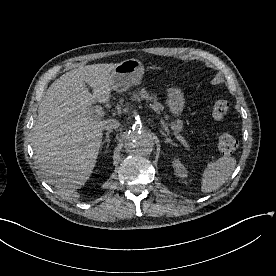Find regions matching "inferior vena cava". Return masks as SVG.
<instances>
[{"instance_id":"obj_1","label":"inferior vena cava","mask_w":276,"mask_h":276,"mask_svg":"<svg viewBox=\"0 0 276 276\" xmlns=\"http://www.w3.org/2000/svg\"><path fill=\"white\" fill-rule=\"evenodd\" d=\"M120 126V123L116 119L106 120L103 124V129L111 132L113 129H117Z\"/></svg>"}]
</instances>
